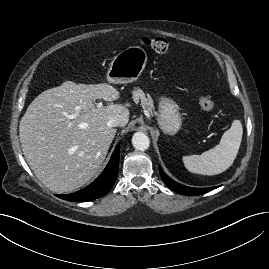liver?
Listing matches in <instances>:
<instances>
[{
	"label": "liver",
	"mask_w": 269,
	"mask_h": 269,
	"mask_svg": "<svg viewBox=\"0 0 269 269\" xmlns=\"http://www.w3.org/2000/svg\"><path fill=\"white\" fill-rule=\"evenodd\" d=\"M119 97L107 83L66 81L31 102L20 121V143L31 170L48 189L72 192L95 176L116 134L108 120L117 117L125 127L130 113L125 105L97 107L94 101Z\"/></svg>",
	"instance_id": "1"
}]
</instances>
